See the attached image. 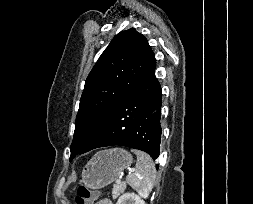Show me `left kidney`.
<instances>
[{
	"instance_id": "1",
	"label": "left kidney",
	"mask_w": 253,
	"mask_h": 204,
	"mask_svg": "<svg viewBox=\"0 0 253 204\" xmlns=\"http://www.w3.org/2000/svg\"><path fill=\"white\" fill-rule=\"evenodd\" d=\"M116 204H146V203L135 193H124L119 197Z\"/></svg>"
}]
</instances>
